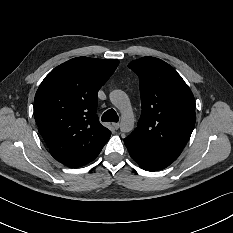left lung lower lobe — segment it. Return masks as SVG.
<instances>
[{
    "label": "left lung lower lobe",
    "mask_w": 233,
    "mask_h": 233,
    "mask_svg": "<svg viewBox=\"0 0 233 233\" xmlns=\"http://www.w3.org/2000/svg\"><path fill=\"white\" fill-rule=\"evenodd\" d=\"M130 156L147 171H157L172 164L179 155L147 144L133 135L124 139Z\"/></svg>",
    "instance_id": "left-lung-lower-lobe-1"
}]
</instances>
